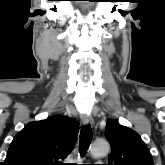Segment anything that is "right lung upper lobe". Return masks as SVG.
Here are the masks:
<instances>
[{
    "label": "right lung upper lobe",
    "instance_id": "1",
    "mask_svg": "<svg viewBox=\"0 0 165 165\" xmlns=\"http://www.w3.org/2000/svg\"><path fill=\"white\" fill-rule=\"evenodd\" d=\"M79 123L56 115L28 123L13 138L4 165H61L73 150Z\"/></svg>",
    "mask_w": 165,
    "mask_h": 165
}]
</instances>
